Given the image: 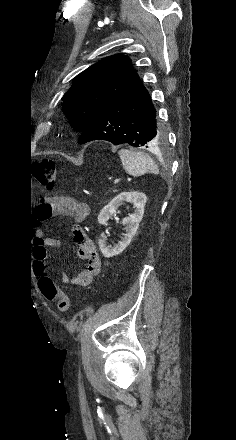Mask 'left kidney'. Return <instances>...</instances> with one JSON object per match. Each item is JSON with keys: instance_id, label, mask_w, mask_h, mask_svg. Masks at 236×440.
<instances>
[{"instance_id": "left-kidney-1", "label": "left kidney", "mask_w": 236, "mask_h": 440, "mask_svg": "<svg viewBox=\"0 0 236 440\" xmlns=\"http://www.w3.org/2000/svg\"><path fill=\"white\" fill-rule=\"evenodd\" d=\"M147 197L142 192H123L114 197L106 206L103 207L100 214L98 215V222L101 225H107L109 218L116 214L117 209L124 202L133 203L135 210L128 217L124 218L122 223L125 225V231L121 241L114 245L113 247H107L106 236L104 233L100 235L98 240L99 248L104 257L110 258L115 255L120 254L131 242L132 238L136 234L139 223L141 222L144 214V208L146 204Z\"/></svg>"}]
</instances>
